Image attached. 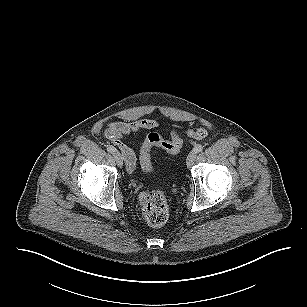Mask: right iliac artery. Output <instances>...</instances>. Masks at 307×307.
<instances>
[{
    "instance_id": "obj_1",
    "label": "right iliac artery",
    "mask_w": 307,
    "mask_h": 307,
    "mask_svg": "<svg viewBox=\"0 0 307 307\" xmlns=\"http://www.w3.org/2000/svg\"><path fill=\"white\" fill-rule=\"evenodd\" d=\"M107 151L110 152V153H114V152H116L117 150H116L115 147L109 145V146H107Z\"/></svg>"
}]
</instances>
